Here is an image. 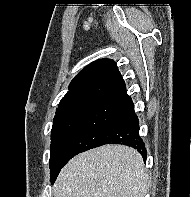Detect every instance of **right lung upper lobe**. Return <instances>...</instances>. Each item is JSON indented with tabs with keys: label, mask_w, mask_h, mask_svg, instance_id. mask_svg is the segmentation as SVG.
<instances>
[{
	"label": "right lung upper lobe",
	"mask_w": 191,
	"mask_h": 197,
	"mask_svg": "<svg viewBox=\"0 0 191 197\" xmlns=\"http://www.w3.org/2000/svg\"><path fill=\"white\" fill-rule=\"evenodd\" d=\"M124 83L116 63L100 59L86 66L69 85L56 114L73 109L94 107L100 100Z\"/></svg>",
	"instance_id": "1"
}]
</instances>
